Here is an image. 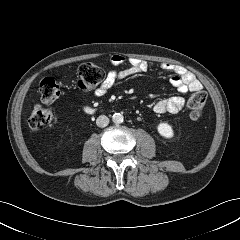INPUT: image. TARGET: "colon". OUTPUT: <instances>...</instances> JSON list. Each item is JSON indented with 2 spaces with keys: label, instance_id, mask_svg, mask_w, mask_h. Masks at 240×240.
I'll return each mask as SVG.
<instances>
[{
  "label": "colon",
  "instance_id": "5ec220e1",
  "mask_svg": "<svg viewBox=\"0 0 240 240\" xmlns=\"http://www.w3.org/2000/svg\"><path fill=\"white\" fill-rule=\"evenodd\" d=\"M78 86L83 91L94 90L104 79L102 67L84 63L78 68ZM62 88L59 82L52 78L46 77L40 82V95L43 103H49L60 97ZM207 94L203 90L194 91L188 101L190 118L193 121H199L202 118L206 104ZM53 112L42 105H36L30 115L29 125L32 129H41L48 127L53 123Z\"/></svg>",
  "mask_w": 240,
  "mask_h": 240
}]
</instances>
